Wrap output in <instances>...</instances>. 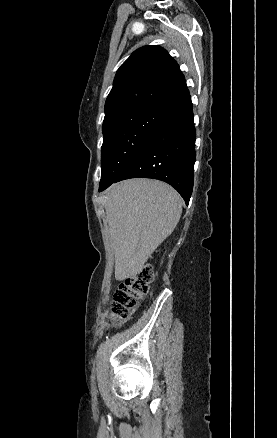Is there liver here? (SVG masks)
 Here are the masks:
<instances>
[{"instance_id":"6515ba94","label":"liver","mask_w":277,"mask_h":438,"mask_svg":"<svg viewBox=\"0 0 277 438\" xmlns=\"http://www.w3.org/2000/svg\"><path fill=\"white\" fill-rule=\"evenodd\" d=\"M115 280L135 278L156 248L172 234L182 214V200L159 180L135 178L108 188L105 206Z\"/></svg>"}]
</instances>
